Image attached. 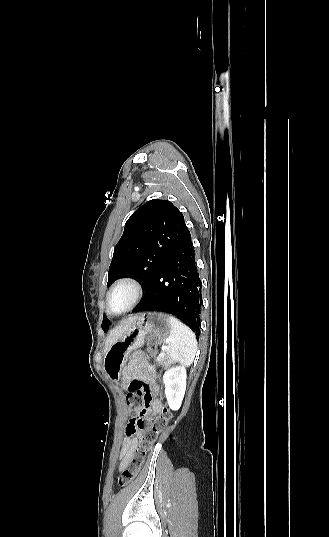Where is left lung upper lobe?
<instances>
[{"mask_svg":"<svg viewBox=\"0 0 329 537\" xmlns=\"http://www.w3.org/2000/svg\"><path fill=\"white\" fill-rule=\"evenodd\" d=\"M189 235L183 214L170 201L146 202L125 224L114 249L107 285L132 276L142 282L146 293L162 263ZM109 325L104 316L102 329Z\"/></svg>","mask_w":329,"mask_h":537,"instance_id":"5c2ea615","label":"left lung upper lobe"}]
</instances>
